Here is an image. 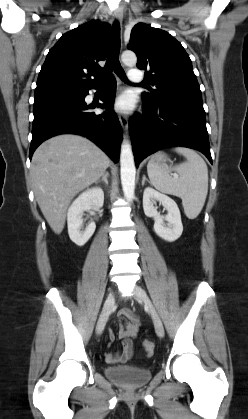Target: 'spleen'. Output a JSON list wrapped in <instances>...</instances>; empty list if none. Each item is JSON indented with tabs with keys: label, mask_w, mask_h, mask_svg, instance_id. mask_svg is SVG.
I'll use <instances>...</instances> for the list:
<instances>
[{
	"label": "spleen",
	"mask_w": 248,
	"mask_h": 419,
	"mask_svg": "<svg viewBox=\"0 0 248 419\" xmlns=\"http://www.w3.org/2000/svg\"><path fill=\"white\" fill-rule=\"evenodd\" d=\"M186 161L167 168L155 163L151 158L147 165L150 183L159 191L180 197L184 212L189 219H195L201 212L208 193V168L203 158L190 148L174 149ZM171 171L179 176L172 177Z\"/></svg>",
	"instance_id": "spleen-1"
}]
</instances>
